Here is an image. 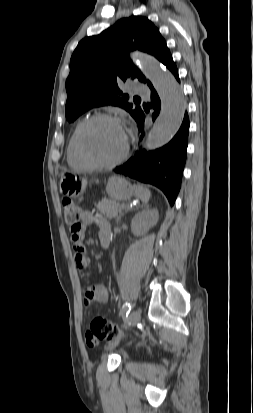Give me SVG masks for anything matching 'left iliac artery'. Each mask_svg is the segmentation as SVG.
<instances>
[{
  "instance_id": "left-iliac-artery-1",
  "label": "left iliac artery",
  "mask_w": 253,
  "mask_h": 413,
  "mask_svg": "<svg viewBox=\"0 0 253 413\" xmlns=\"http://www.w3.org/2000/svg\"><path fill=\"white\" fill-rule=\"evenodd\" d=\"M131 311V305L130 303H125L121 309L120 314L122 316H127L129 314V312Z\"/></svg>"
}]
</instances>
